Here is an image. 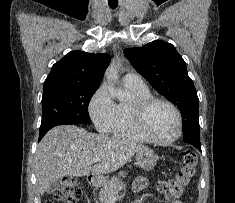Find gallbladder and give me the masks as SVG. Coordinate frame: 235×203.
I'll list each match as a JSON object with an SVG mask.
<instances>
[{"mask_svg":"<svg viewBox=\"0 0 235 203\" xmlns=\"http://www.w3.org/2000/svg\"><path fill=\"white\" fill-rule=\"evenodd\" d=\"M62 183H63L62 180H57L56 182H54L48 187L47 192L48 193L54 192L56 189L60 187V185H62Z\"/></svg>","mask_w":235,"mask_h":203,"instance_id":"gallbladder-1","label":"gallbladder"}]
</instances>
